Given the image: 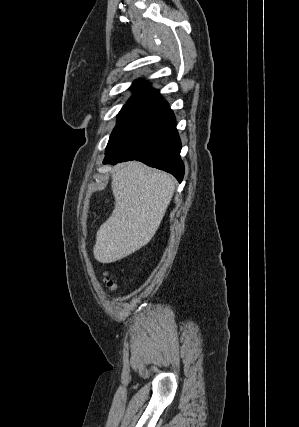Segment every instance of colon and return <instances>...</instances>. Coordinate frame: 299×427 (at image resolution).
Segmentation results:
<instances>
[{"label": "colon", "mask_w": 299, "mask_h": 427, "mask_svg": "<svg viewBox=\"0 0 299 427\" xmlns=\"http://www.w3.org/2000/svg\"><path fill=\"white\" fill-rule=\"evenodd\" d=\"M106 283L111 289H114L116 287L115 282L109 277L106 278Z\"/></svg>", "instance_id": "1"}]
</instances>
